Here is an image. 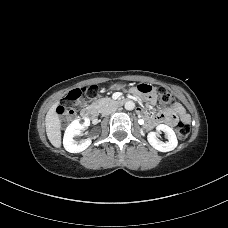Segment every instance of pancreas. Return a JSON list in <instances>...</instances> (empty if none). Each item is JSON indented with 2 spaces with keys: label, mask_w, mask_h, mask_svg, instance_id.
<instances>
[{
  "label": "pancreas",
  "mask_w": 228,
  "mask_h": 228,
  "mask_svg": "<svg viewBox=\"0 0 228 228\" xmlns=\"http://www.w3.org/2000/svg\"><path fill=\"white\" fill-rule=\"evenodd\" d=\"M112 100L110 98H101L92 103V106L102 110Z\"/></svg>",
  "instance_id": "cf45deb5"
}]
</instances>
